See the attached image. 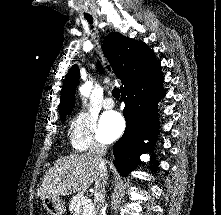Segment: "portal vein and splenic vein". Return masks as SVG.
I'll return each instance as SVG.
<instances>
[{"instance_id": "obj_1", "label": "portal vein and splenic vein", "mask_w": 221, "mask_h": 215, "mask_svg": "<svg viewBox=\"0 0 221 215\" xmlns=\"http://www.w3.org/2000/svg\"><path fill=\"white\" fill-rule=\"evenodd\" d=\"M89 202H90V199H87V198H86V200H84L82 204H83V205H84V204H88Z\"/></svg>"}]
</instances>
